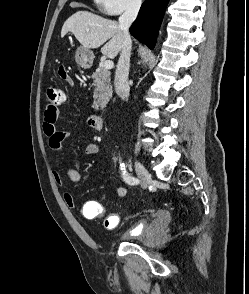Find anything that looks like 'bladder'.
I'll return each mask as SVG.
<instances>
[{"label": "bladder", "mask_w": 249, "mask_h": 294, "mask_svg": "<svg viewBox=\"0 0 249 294\" xmlns=\"http://www.w3.org/2000/svg\"><path fill=\"white\" fill-rule=\"evenodd\" d=\"M169 221L170 215L168 213H164V215L157 217L155 222H148L147 220L141 219L134 225V227L130 231L125 232L121 235V240L143 241Z\"/></svg>", "instance_id": "1"}]
</instances>
